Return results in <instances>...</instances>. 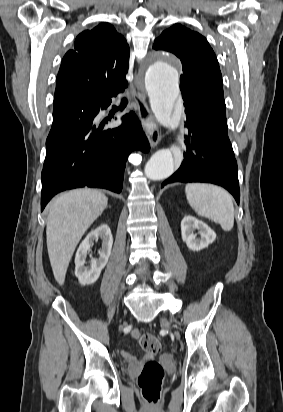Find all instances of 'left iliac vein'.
Segmentation results:
<instances>
[{"label":"left iliac vein","instance_id":"left-iliac-vein-1","mask_svg":"<svg viewBox=\"0 0 283 412\" xmlns=\"http://www.w3.org/2000/svg\"><path fill=\"white\" fill-rule=\"evenodd\" d=\"M161 322L163 323V325L166 327V328H170L171 327V323H170V321H168L166 318H161Z\"/></svg>","mask_w":283,"mask_h":412}]
</instances>
